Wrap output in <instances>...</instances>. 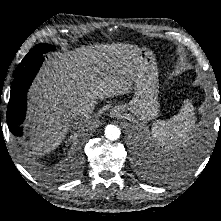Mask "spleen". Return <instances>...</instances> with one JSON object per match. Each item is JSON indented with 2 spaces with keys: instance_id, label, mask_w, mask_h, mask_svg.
Returning a JSON list of instances; mask_svg holds the SVG:
<instances>
[{
  "instance_id": "3e777b00",
  "label": "spleen",
  "mask_w": 221,
  "mask_h": 221,
  "mask_svg": "<svg viewBox=\"0 0 221 221\" xmlns=\"http://www.w3.org/2000/svg\"><path fill=\"white\" fill-rule=\"evenodd\" d=\"M197 130L194 108L190 101H185L178 114L168 120H157L152 124L151 134L161 151L165 154L177 153L181 147H187Z\"/></svg>"
}]
</instances>
